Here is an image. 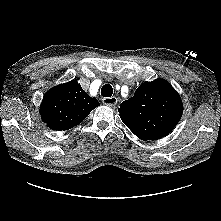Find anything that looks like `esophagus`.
Instances as JSON below:
<instances>
[{
    "instance_id": "1",
    "label": "esophagus",
    "mask_w": 221,
    "mask_h": 221,
    "mask_svg": "<svg viewBox=\"0 0 221 221\" xmlns=\"http://www.w3.org/2000/svg\"><path fill=\"white\" fill-rule=\"evenodd\" d=\"M103 104L108 106H114L117 104L118 99L116 97H105L102 99Z\"/></svg>"
}]
</instances>
